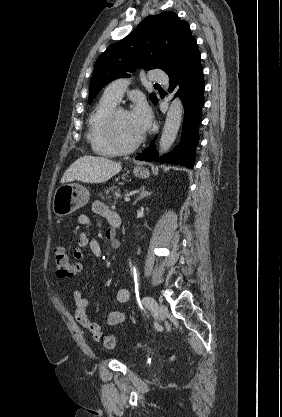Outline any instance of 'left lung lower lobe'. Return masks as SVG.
<instances>
[{
  "instance_id": "obj_1",
  "label": "left lung lower lobe",
  "mask_w": 282,
  "mask_h": 417,
  "mask_svg": "<svg viewBox=\"0 0 282 417\" xmlns=\"http://www.w3.org/2000/svg\"><path fill=\"white\" fill-rule=\"evenodd\" d=\"M166 73L170 78L169 92L177 87L176 95L181 97L185 108L182 141L171 153L162 157H159L153 141L135 159L181 164L192 169L195 161V148L199 140L201 110L204 105L203 70L195 39L190 41L176 56Z\"/></svg>"
}]
</instances>
